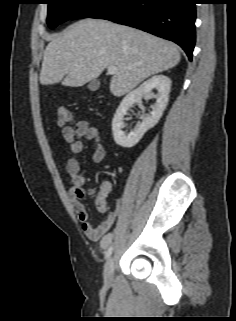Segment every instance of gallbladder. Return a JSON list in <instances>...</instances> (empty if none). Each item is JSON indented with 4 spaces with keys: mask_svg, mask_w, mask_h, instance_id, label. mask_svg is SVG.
Here are the masks:
<instances>
[{
    "mask_svg": "<svg viewBox=\"0 0 236 321\" xmlns=\"http://www.w3.org/2000/svg\"><path fill=\"white\" fill-rule=\"evenodd\" d=\"M99 87V82L97 80H93L89 83L88 89L90 91H96Z\"/></svg>",
    "mask_w": 236,
    "mask_h": 321,
    "instance_id": "gallbladder-1",
    "label": "gallbladder"
}]
</instances>
